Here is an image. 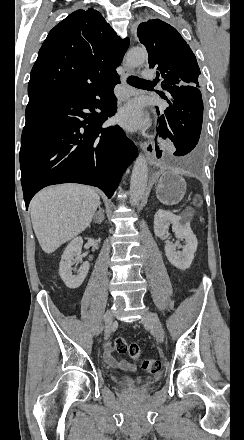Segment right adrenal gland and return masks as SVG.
I'll list each match as a JSON object with an SVG mask.
<instances>
[{
  "label": "right adrenal gland",
  "mask_w": 244,
  "mask_h": 440,
  "mask_svg": "<svg viewBox=\"0 0 244 440\" xmlns=\"http://www.w3.org/2000/svg\"><path fill=\"white\" fill-rule=\"evenodd\" d=\"M98 214H102V216H104V210L101 208V202H99V210L96 212L95 216H98Z\"/></svg>",
  "instance_id": "right-adrenal-gland-1"
}]
</instances>
